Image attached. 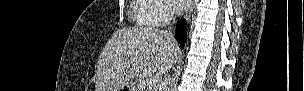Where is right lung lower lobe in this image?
Returning a JSON list of instances; mask_svg holds the SVG:
<instances>
[{"label":"right lung lower lobe","mask_w":304,"mask_h":91,"mask_svg":"<svg viewBox=\"0 0 304 91\" xmlns=\"http://www.w3.org/2000/svg\"><path fill=\"white\" fill-rule=\"evenodd\" d=\"M175 34H176V38L178 39V42L181 44V47H184L185 40L187 37L185 19H181L180 21L177 22Z\"/></svg>","instance_id":"right-lung-lower-lobe-1"}]
</instances>
